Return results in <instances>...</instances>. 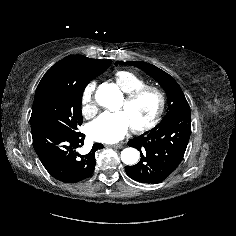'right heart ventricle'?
<instances>
[{
	"mask_svg": "<svg viewBox=\"0 0 236 236\" xmlns=\"http://www.w3.org/2000/svg\"><path fill=\"white\" fill-rule=\"evenodd\" d=\"M114 80L124 93H129L135 89L147 85L145 79L129 70L117 71L114 75Z\"/></svg>",
	"mask_w": 236,
	"mask_h": 236,
	"instance_id": "right-heart-ventricle-1",
	"label": "right heart ventricle"
}]
</instances>
